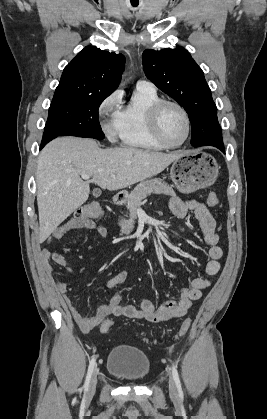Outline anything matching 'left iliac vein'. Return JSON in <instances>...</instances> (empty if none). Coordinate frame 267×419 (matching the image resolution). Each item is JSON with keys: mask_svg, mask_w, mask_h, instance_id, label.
Returning <instances> with one entry per match:
<instances>
[{"mask_svg": "<svg viewBox=\"0 0 267 419\" xmlns=\"http://www.w3.org/2000/svg\"><path fill=\"white\" fill-rule=\"evenodd\" d=\"M168 383H169V392H170L171 397L177 398L178 393H177L175 381L171 376L169 377Z\"/></svg>", "mask_w": 267, "mask_h": 419, "instance_id": "1", "label": "left iliac vein"}]
</instances>
